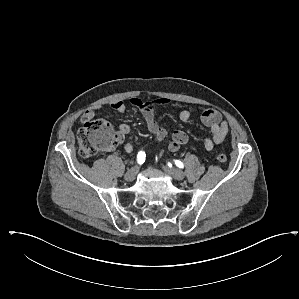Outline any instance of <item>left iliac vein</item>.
I'll return each instance as SVG.
<instances>
[{
  "label": "left iliac vein",
  "mask_w": 299,
  "mask_h": 299,
  "mask_svg": "<svg viewBox=\"0 0 299 299\" xmlns=\"http://www.w3.org/2000/svg\"><path fill=\"white\" fill-rule=\"evenodd\" d=\"M163 168L170 176H172L176 180H183L185 177L184 173L179 169L170 168L167 166H164Z\"/></svg>",
  "instance_id": "left-iliac-vein-1"
}]
</instances>
